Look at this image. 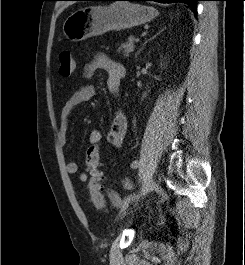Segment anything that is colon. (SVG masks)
Returning <instances> with one entry per match:
<instances>
[{"mask_svg": "<svg viewBox=\"0 0 245 265\" xmlns=\"http://www.w3.org/2000/svg\"><path fill=\"white\" fill-rule=\"evenodd\" d=\"M76 63L69 51L59 54V73L63 77H70L75 71ZM99 148L91 145L85 155L84 165L89 173L88 189L95 207L99 210L104 209V196L102 190V172L99 170Z\"/></svg>", "mask_w": 245, "mask_h": 265, "instance_id": "obj_1", "label": "colon"}]
</instances>
